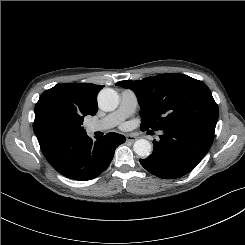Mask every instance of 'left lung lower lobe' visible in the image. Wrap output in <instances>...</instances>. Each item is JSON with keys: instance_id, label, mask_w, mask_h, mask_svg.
Returning a JSON list of instances; mask_svg holds the SVG:
<instances>
[{"instance_id": "obj_1", "label": "left lung lower lobe", "mask_w": 245, "mask_h": 245, "mask_svg": "<svg viewBox=\"0 0 245 245\" xmlns=\"http://www.w3.org/2000/svg\"><path fill=\"white\" fill-rule=\"evenodd\" d=\"M153 153L140 159L141 165L159 178L174 179L192 171L210 149L214 133L196 126H175L161 130Z\"/></svg>"}]
</instances>
